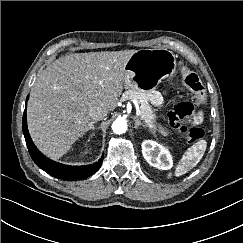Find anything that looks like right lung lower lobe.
<instances>
[{
    "label": "right lung lower lobe",
    "mask_w": 243,
    "mask_h": 243,
    "mask_svg": "<svg viewBox=\"0 0 243 243\" xmlns=\"http://www.w3.org/2000/svg\"><path fill=\"white\" fill-rule=\"evenodd\" d=\"M28 100V97H27ZM23 133L30 156L38 167L53 177L63 180H81L94 174L100 168L103 157L96 163L87 166H67L45 157L34 145L29 135L26 119V107L23 115Z\"/></svg>",
    "instance_id": "1"
}]
</instances>
